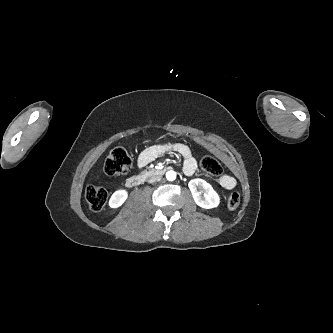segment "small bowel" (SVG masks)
I'll return each instance as SVG.
<instances>
[{"mask_svg": "<svg viewBox=\"0 0 333 333\" xmlns=\"http://www.w3.org/2000/svg\"><path fill=\"white\" fill-rule=\"evenodd\" d=\"M167 151L178 153L184 160L183 170L186 175H192L196 171L197 163L189 146L183 143H169L165 145H153L143 150L138 159L137 165L143 168L152 161L163 155ZM218 184L224 190H231L236 185V180L233 176L224 174L219 177Z\"/></svg>", "mask_w": 333, "mask_h": 333, "instance_id": "1", "label": "small bowel"}]
</instances>
